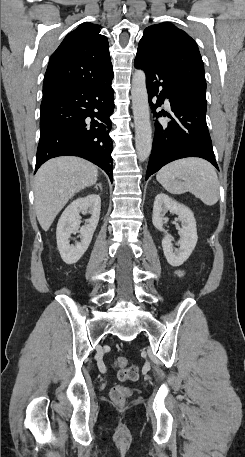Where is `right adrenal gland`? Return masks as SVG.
Instances as JSON below:
<instances>
[{
	"mask_svg": "<svg viewBox=\"0 0 245 457\" xmlns=\"http://www.w3.org/2000/svg\"><path fill=\"white\" fill-rule=\"evenodd\" d=\"M94 188H96V190H98V188H100V190H103L101 182H99V184H95Z\"/></svg>",
	"mask_w": 245,
	"mask_h": 457,
	"instance_id": "1",
	"label": "right adrenal gland"
}]
</instances>
